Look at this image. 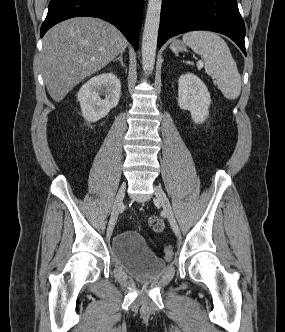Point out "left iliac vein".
Segmentation results:
<instances>
[{"label":"left iliac vein","mask_w":285,"mask_h":332,"mask_svg":"<svg viewBox=\"0 0 285 332\" xmlns=\"http://www.w3.org/2000/svg\"><path fill=\"white\" fill-rule=\"evenodd\" d=\"M154 195H155L156 199L159 201V203L161 204V206L167 216V219L171 225L173 232L176 235H178L179 227H178L177 221L175 219L171 204H170L166 194L159 186H154Z\"/></svg>","instance_id":"1"}]
</instances>
